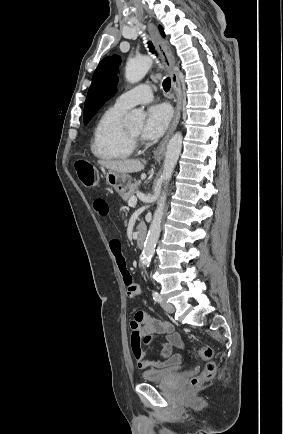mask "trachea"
Masks as SVG:
<instances>
[{
  "label": "trachea",
  "instance_id": "obj_1",
  "mask_svg": "<svg viewBox=\"0 0 283 434\" xmlns=\"http://www.w3.org/2000/svg\"><path fill=\"white\" fill-rule=\"evenodd\" d=\"M147 43H148V47H149L150 51H151L152 53H155V54H156L155 49H154V47H153V44H152L150 41H148ZM156 55H157V54H156ZM170 87H171V80H170L169 77H167V78L163 81V89H164L165 92H168L169 89H170Z\"/></svg>",
  "mask_w": 283,
  "mask_h": 434
}]
</instances>
